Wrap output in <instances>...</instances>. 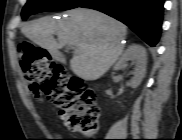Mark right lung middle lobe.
<instances>
[{"instance_id": "obj_1", "label": "right lung middle lobe", "mask_w": 182, "mask_h": 140, "mask_svg": "<svg viewBox=\"0 0 182 140\" xmlns=\"http://www.w3.org/2000/svg\"><path fill=\"white\" fill-rule=\"evenodd\" d=\"M87 0H28L22 10V18L26 20L32 14L45 11H61L79 7Z\"/></svg>"}]
</instances>
